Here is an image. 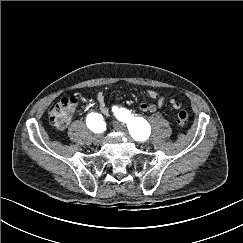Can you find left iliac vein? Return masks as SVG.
<instances>
[{
  "label": "left iliac vein",
  "instance_id": "1",
  "mask_svg": "<svg viewBox=\"0 0 243 243\" xmlns=\"http://www.w3.org/2000/svg\"><path fill=\"white\" fill-rule=\"evenodd\" d=\"M113 126L114 128L117 130V131H121V132H126L127 131V127L124 123H121L119 121H115L113 123Z\"/></svg>",
  "mask_w": 243,
  "mask_h": 243
}]
</instances>
